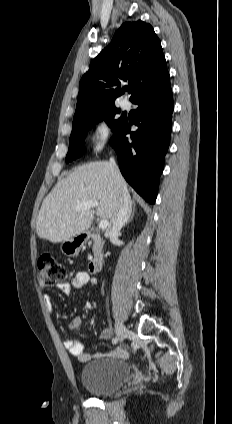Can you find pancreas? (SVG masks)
Instances as JSON below:
<instances>
[{"label": "pancreas", "instance_id": "cf45deb5", "mask_svg": "<svg viewBox=\"0 0 232 424\" xmlns=\"http://www.w3.org/2000/svg\"><path fill=\"white\" fill-rule=\"evenodd\" d=\"M93 241H94L93 250L95 251V250H96V248H97V246H98V245H100L101 240H100L97 236H95V237L93 238Z\"/></svg>", "mask_w": 232, "mask_h": 424}]
</instances>
